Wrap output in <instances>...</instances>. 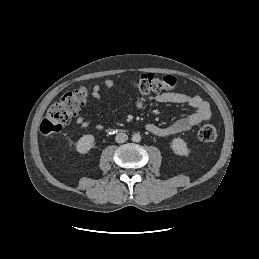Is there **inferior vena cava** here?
Wrapping results in <instances>:
<instances>
[{
  "mask_svg": "<svg viewBox=\"0 0 259 259\" xmlns=\"http://www.w3.org/2000/svg\"><path fill=\"white\" fill-rule=\"evenodd\" d=\"M128 140V136L126 133H118L115 137V141L117 143H124Z\"/></svg>",
  "mask_w": 259,
  "mask_h": 259,
  "instance_id": "1",
  "label": "inferior vena cava"
}]
</instances>
